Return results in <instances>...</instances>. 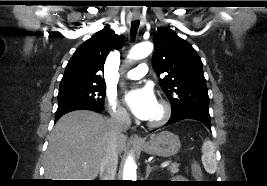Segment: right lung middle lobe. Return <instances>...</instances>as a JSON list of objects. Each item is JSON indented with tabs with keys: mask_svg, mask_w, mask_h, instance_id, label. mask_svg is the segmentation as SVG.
Wrapping results in <instances>:
<instances>
[{
	"mask_svg": "<svg viewBox=\"0 0 267 186\" xmlns=\"http://www.w3.org/2000/svg\"><path fill=\"white\" fill-rule=\"evenodd\" d=\"M106 85L71 84L59 88L58 104L84 102L97 105L104 104Z\"/></svg>",
	"mask_w": 267,
	"mask_h": 186,
	"instance_id": "obj_1",
	"label": "right lung middle lobe"
}]
</instances>
